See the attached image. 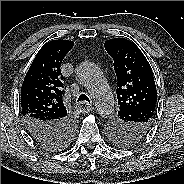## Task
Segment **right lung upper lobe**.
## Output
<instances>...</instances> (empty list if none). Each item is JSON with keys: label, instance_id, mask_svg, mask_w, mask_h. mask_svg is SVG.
Returning a JSON list of instances; mask_svg holds the SVG:
<instances>
[{"label": "right lung upper lobe", "instance_id": "obj_1", "mask_svg": "<svg viewBox=\"0 0 184 184\" xmlns=\"http://www.w3.org/2000/svg\"><path fill=\"white\" fill-rule=\"evenodd\" d=\"M74 46L73 41L52 40L33 60L21 87L22 115L59 122L67 117L61 63Z\"/></svg>", "mask_w": 184, "mask_h": 184}]
</instances>
